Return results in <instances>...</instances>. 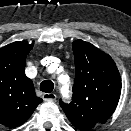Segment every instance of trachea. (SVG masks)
I'll list each match as a JSON object with an SVG mask.
<instances>
[{"label":"trachea","mask_w":131,"mask_h":131,"mask_svg":"<svg viewBox=\"0 0 131 131\" xmlns=\"http://www.w3.org/2000/svg\"><path fill=\"white\" fill-rule=\"evenodd\" d=\"M54 89V83L51 80H44L40 84V90L45 93H51Z\"/></svg>","instance_id":"trachea-1"}]
</instances>
